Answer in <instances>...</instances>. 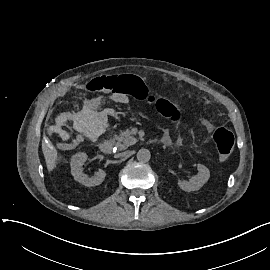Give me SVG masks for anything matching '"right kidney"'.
Here are the masks:
<instances>
[{"mask_svg":"<svg viewBox=\"0 0 270 270\" xmlns=\"http://www.w3.org/2000/svg\"><path fill=\"white\" fill-rule=\"evenodd\" d=\"M87 159L88 156L85 153L75 154L71 160V173L74 177V180L84 186H98L104 181L106 172L103 169H98V172L92 178H88L86 175H82V166L85 164Z\"/></svg>","mask_w":270,"mask_h":270,"instance_id":"right-kidney-1","label":"right kidney"}]
</instances>
